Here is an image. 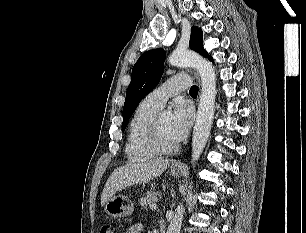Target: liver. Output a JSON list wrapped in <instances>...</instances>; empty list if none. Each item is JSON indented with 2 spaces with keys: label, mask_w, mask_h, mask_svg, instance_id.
<instances>
[{
  "label": "liver",
  "mask_w": 306,
  "mask_h": 233,
  "mask_svg": "<svg viewBox=\"0 0 306 233\" xmlns=\"http://www.w3.org/2000/svg\"><path fill=\"white\" fill-rule=\"evenodd\" d=\"M168 160L132 162L119 167L112 172L108 178L102 195L101 205L105 203L118 191L127 187L151 181L160 176L167 168Z\"/></svg>",
  "instance_id": "obj_1"
}]
</instances>
